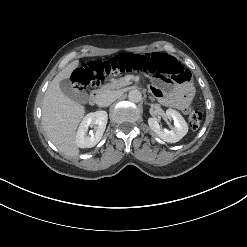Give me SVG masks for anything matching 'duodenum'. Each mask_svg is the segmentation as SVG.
<instances>
[{"label": "duodenum", "mask_w": 247, "mask_h": 247, "mask_svg": "<svg viewBox=\"0 0 247 247\" xmlns=\"http://www.w3.org/2000/svg\"><path fill=\"white\" fill-rule=\"evenodd\" d=\"M101 90L95 89L90 95V103L92 105H98L100 102Z\"/></svg>", "instance_id": "410a0bca"}]
</instances>
